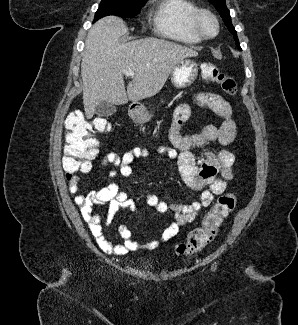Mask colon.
Returning a JSON list of instances; mask_svg holds the SVG:
<instances>
[{
	"mask_svg": "<svg viewBox=\"0 0 298 325\" xmlns=\"http://www.w3.org/2000/svg\"><path fill=\"white\" fill-rule=\"evenodd\" d=\"M201 76L208 83L220 85L228 94H235L237 83L234 77L222 72L219 67L210 62L200 66ZM65 143L63 169L70 182L85 172L90 166V160L97 154V133L108 132L111 124L105 118L87 119L81 112L69 114L65 121ZM237 198L233 193L220 196L213 207L204 215L200 227L192 230L186 242L178 245L176 251L181 256H191L203 250L217 236L223 221L235 209Z\"/></svg>",
	"mask_w": 298,
	"mask_h": 325,
	"instance_id": "1",
	"label": "colon"
}]
</instances>
